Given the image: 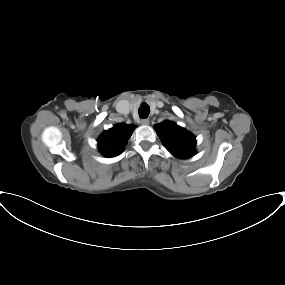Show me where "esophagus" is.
Listing matches in <instances>:
<instances>
[{"label":"esophagus","mask_w":285,"mask_h":285,"mask_svg":"<svg viewBox=\"0 0 285 285\" xmlns=\"http://www.w3.org/2000/svg\"><path fill=\"white\" fill-rule=\"evenodd\" d=\"M141 124L142 125H148L149 124V119L148 118H144L141 120Z\"/></svg>","instance_id":"34e87169"}]
</instances>
